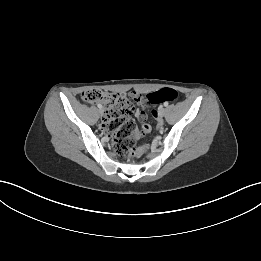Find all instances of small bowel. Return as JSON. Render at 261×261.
I'll use <instances>...</instances> for the list:
<instances>
[{
    "label": "small bowel",
    "mask_w": 261,
    "mask_h": 261,
    "mask_svg": "<svg viewBox=\"0 0 261 261\" xmlns=\"http://www.w3.org/2000/svg\"><path fill=\"white\" fill-rule=\"evenodd\" d=\"M130 96L136 100L138 102V104L140 105L141 108L137 109L135 112V116L138 120L144 122L147 119V113L144 110V107L147 105L148 101H147V97L146 96H142L141 94H139L138 92H131ZM105 121V116L103 118V122ZM143 131L146 133H151L152 132V127L149 124H144L143 125Z\"/></svg>",
    "instance_id": "c3829d8e"
}]
</instances>
